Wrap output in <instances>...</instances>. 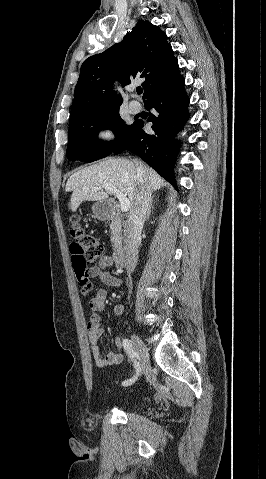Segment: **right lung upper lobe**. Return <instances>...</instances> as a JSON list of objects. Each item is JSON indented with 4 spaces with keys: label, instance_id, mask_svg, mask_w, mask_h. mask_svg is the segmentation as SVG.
<instances>
[{
    "label": "right lung upper lobe",
    "instance_id": "right-lung-upper-lobe-1",
    "mask_svg": "<svg viewBox=\"0 0 266 479\" xmlns=\"http://www.w3.org/2000/svg\"><path fill=\"white\" fill-rule=\"evenodd\" d=\"M178 75V62L166 34L150 22L139 20L121 43L83 62L70 121L119 108L122 98L113 90L116 79L127 85L135 78H144L145 100Z\"/></svg>",
    "mask_w": 266,
    "mask_h": 479
}]
</instances>
